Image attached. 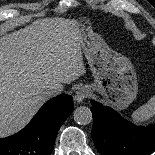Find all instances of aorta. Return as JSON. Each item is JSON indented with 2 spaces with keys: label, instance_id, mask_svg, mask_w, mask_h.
<instances>
[{
  "label": "aorta",
  "instance_id": "1",
  "mask_svg": "<svg viewBox=\"0 0 155 155\" xmlns=\"http://www.w3.org/2000/svg\"><path fill=\"white\" fill-rule=\"evenodd\" d=\"M74 120L80 125H87L92 122V112L86 106H80L74 111Z\"/></svg>",
  "mask_w": 155,
  "mask_h": 155
}]
</instances>
